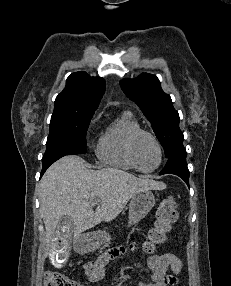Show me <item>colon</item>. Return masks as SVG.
I'll list each match as a JSON object with an SVG mask.
<instances>
[{
  "mask_svg": "<svg viewBox=\"0 0 231 286\" xmlns=\"http://www.w3.org/2000/svg\"><path fill=\"white\" fill-rule=\"evenodd\" d=\"M179 217L177 203L172 197L164 199L156 210L154 226L149 230L143 250L153 254L157 246L165 243L168 233ZM44 286H83L76 280L56 272L48 271L44 276Z\"/></svg>",
  "mask_w": 231,
  "mask_h": 286,
  "instance_id": "5ec220e1",
  "label": "colon"
}]
</instances>
